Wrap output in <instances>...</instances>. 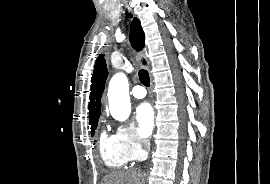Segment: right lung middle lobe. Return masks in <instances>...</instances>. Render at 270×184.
Instances as JSON below:
<instances>
[{
	"instance_id": "1",
	"label": "right lung middle lobe",
	"mask_w": 270,
	"mask_h": 184,
	"mask_svg": "<svg viewBox=\"0 0 270 184\" xmlns=\"http://www.w3.org/2000/svg\"><path fill=\"white\" fill-rule=\"evenodd\" d=\"M98 121L91 123V134L93 135L94 130L97 128Z\"/></svg>"
}]
</instances>
